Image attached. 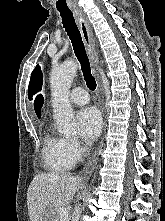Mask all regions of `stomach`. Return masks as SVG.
<instances>
[{"label": "stomach", "instance_id": "1", "mask_svg": "<svg viewBox=\"0 0 165 221\" xmlns=\"http://www.w3.org/2000/svg\"><path fill=\"white\" fill-rule=\"evenodd\" d=\"M53 208H48L38 219V221H52Z\"/></svg>", "mask_w": 165, "mask_h": 221}]
</instances>
